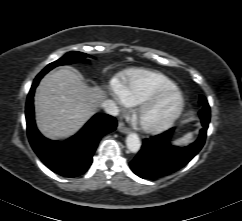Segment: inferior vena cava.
I'll list each match as a JSON object with an SVG mask.
<instances>
[{
  "instance_id": "obj_1",
  "label": "inferior vena cava",
  "mask_w": 242,
  "mask_h": 221,
  "mask_svg": "<svg viewBox=\"0 0 242 221\" xmlns=\"http://www.w3.org/2000/svg\"><path fill=\"white\" fill-rule=\"evenodd\" d=\"M101 107L104 109V111L112 116H117L118 115V107L116 103L112 100H105L101 103Z\"/></svg>"
}]
</instances>
